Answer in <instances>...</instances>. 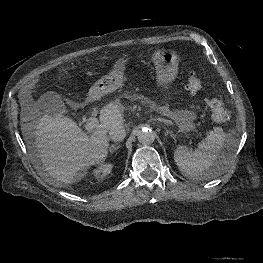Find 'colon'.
<instances>
[{
	"label": "colon",
	"instance_id": "obj_1",
	"mask_svg": "<svg viewBox=\"0 0 263 263\" xmlns=\"http://www.w3.org/2000/svg\"><path fill=\"white\" fill-rule=\"evenodd\" d=\"M202 88L200 80L191 73L188 76L187 89L191 94H197ZM205 105L211 110L212 118L216 123H225L229 119V113L223 102L215 97H207L204 99Z\"/></svg>",
	"mask_w": 263,
	"mask_h": 263
}]
</instances>
